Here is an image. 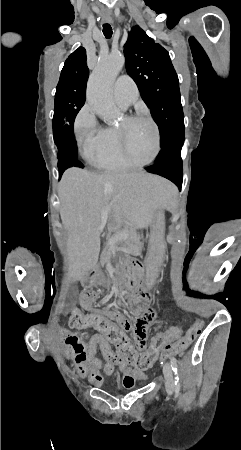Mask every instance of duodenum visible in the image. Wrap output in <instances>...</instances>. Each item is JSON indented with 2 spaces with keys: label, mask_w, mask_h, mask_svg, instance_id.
I'll list each match as a JSON object with an SVG mask.
<instances>
[{
  "label": "duodenum",
  "mask_w": 241,
  "mask_h": 450,
  "mask_svg": "<svg viewBox=\"0 0 241 450\" xmlns=\"http://www.w3.org/2000/svg\"><path fill=\"white\" fill-rule=\"evenodd\" d=\"M141 263L135 259H127L120 266L121 285L128 291H139L142 289L141 282ZM100 276L98 268L91 269L84 276V283L86 285H93L97 282Z\"/></svg>",
  "instance_id": "410a0bca"
}]
</instances>
